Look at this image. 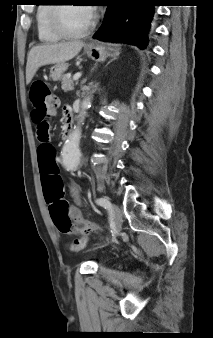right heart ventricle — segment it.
I'll list each match as a JSON object with an SVG mask.
<instances>
[{
	"mask_svg": "<svg viewBox=\"0 0 213 338\" xmlns=\"http://www.w3.org/2000/svg\"><path fill=\"white\" fill-rule=\"evenodd\" d=\"M40 5H37L38 8L36 10V29L38 39L42 42L46 43H54L57 42L60 37L54 34L49 26L50 21V12L52 7L48 2H40Z\"/></svg>",
	"mask_w": 213,
	"mask_h": 338,
	"instance_id": "1",
	"label": "right heart ventricle"
}]
</instances>
